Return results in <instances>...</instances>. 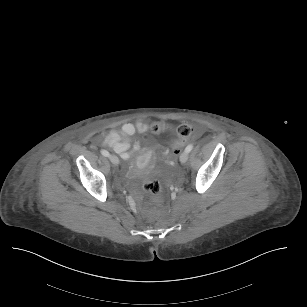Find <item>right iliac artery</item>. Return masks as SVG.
I'll list each match as a JSON object with an SVG mask.
<instances>
[{
    "mask_svg": "<svg viewBox=\"0 0 307 307\" xmlns=\"http://www.w3.org/2000/svg\"><path fill=\"white\" fill-rule=\"evenodd\" d=\"M101 154H102L103 156H106V157L109 156V152L106 151V150H101Z\"/></svg>",
    "mask_w": 307,
    "mask_h": 307,
    "instance_id": "82829eb1",
    "label": "right iliac artery"
}]
</instances>
